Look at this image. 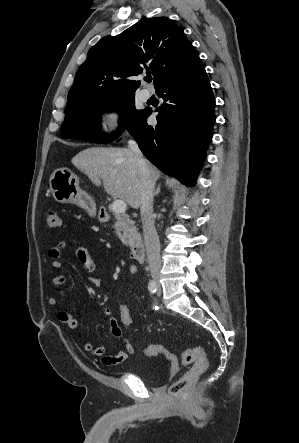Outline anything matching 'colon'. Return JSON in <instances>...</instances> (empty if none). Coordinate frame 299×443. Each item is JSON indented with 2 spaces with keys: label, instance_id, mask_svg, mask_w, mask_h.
<instances>
[{
  "label": "colon",
  "instance_id": "5ec220e1",
  "mask_svg": "<svg viewBox=\"0 0 299 443\" xmlns=\"http://www.w3.org/2000/svg\"><path fill=\"white\" fill-rule=\"evenodd\" d=\"M45 224L47 228H58L61 224L59 214L55 210H48L45 214ZM118 319L122 327L129 333H135L137 322L131 309L122 306L119 310ZM142 352L149 357H163L169 362L171 370L177 372L179 362L175 355L169 353L162 345L143 344ZM183 365H191L180 378L174 381L169 387L172 396H180L193 382H195L207 369L208 362L204 350L201 347H194L185 350L181 356Z\"/></svg>",
  "mask_w": 299,
  "mask_h": 443
}]
</instances>
